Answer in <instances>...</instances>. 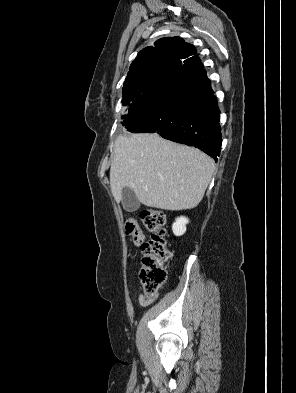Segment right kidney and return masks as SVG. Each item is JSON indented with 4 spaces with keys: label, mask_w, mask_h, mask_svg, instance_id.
Wrapping results in <instances>:
<instances>
[{
    "label": "right kidney",
    "mask_w": 296,
    "mask_h": 393,
    "mask_svg": "<svg viewBox=\"0 0 296 393\" xmlns=\"http://www.w3.org/2000/svg\"><path fill=\"white\" fill-rule=\"evenodd\" d=\"M189 220L186 217H178L172 225V231L175 236H181L186 232V225Z\"/></svg>",
    "instance_id": "ca27d5eb"
}]
</instances>
